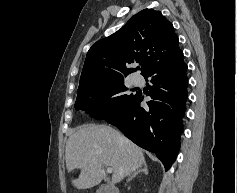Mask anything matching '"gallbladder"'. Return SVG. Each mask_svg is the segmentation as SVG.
<instances>
[{"label":"gallbladder","mask_w":237,"mask_h":193,"mask_svg":"<svg viewBox=\"0 0 237 193\" xmlns=\"http://www.w3.org/2000/svg\"><path fill=\"white\" fill-rule=\"evenodd\" d=\"M97 193H108V188L106 186H101L98 190Z\"/></svg>","instance_id":"gallbladder-1"}]
</instances>
